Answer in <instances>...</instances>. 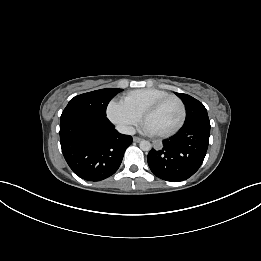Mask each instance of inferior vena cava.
Segmentation results:
<instances>
[{
    "label": "inferior vena cava",
    "mask_w": 261,
    "mask_h": 261,
    "mask_svg": "<svg viewBox=\"0 0 261 261\" xmlns=\"http://www.w3.org/2000/svg\"><path fill=\"white\" fill-rule=\"evenodd\" d=\"M118 132L122 134H127V135H134L135 134V128L132 126H127V125H118L116 127Z\"/></svg>",
    "instance_id": "1"
}]
</instances>
